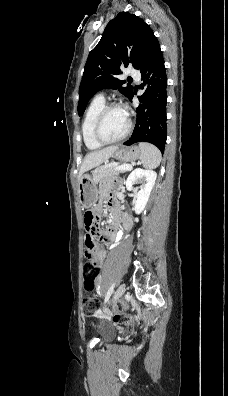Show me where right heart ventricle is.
Instances as JSON below:
<instances>
[{
	"instance_id": "obj_1",
	"label": "right heart ventricle",
	"mask_w": 228,
	"mask_h": 396,
	"mask_svg": "<svg viewBox=\"0 0 228 396\" xmlns=\"http://www.w3.org/2000/svg\"><path fill=\"white\" fill-rule=\"evenodd\" d=\"M105 106L104 98L95 97L88 106L83 122H82V136L86 147L89 150H97L101 148L102 144L96 141L93 135V127L95 119L100 110Z\"/></svg>"
}]
</instances>
